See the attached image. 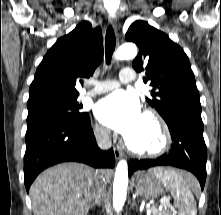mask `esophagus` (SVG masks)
Instances as JSON below:
<instances>
[{
	"mask_svg": "<svg viewBox=\"0 0 221 215\" xmlns=\"http://www.w3.org/2000/svg\"><path fill=\"white\" fill-rule=\"evenodd\" d=\"M110 22H111V24H112L114 30L117 31V20H116V18H115V17H112V18L110 19ZM113 151H114L115 158H116L117 160H119V159H121V158L124 157V153L122 152V150H121L119 147H114V148H113Z\"/></svg>",
	"mask_w": 221,
	"mask_h": 215,
	"instance_id": "esophagus-1",
	"label": "esophagus"
}]
</instances>
